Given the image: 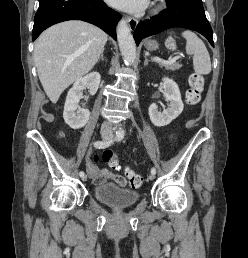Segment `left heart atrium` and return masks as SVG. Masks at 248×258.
<instances>
[{
  "instance_id": "1",
  "label": "left heart atrium",
  "mask_w": 248,
  "mask_h": 258,
  "mask_svg": "<svg viewBox=\"0 0 248 258\" xmlns=\"http://www.w3.org/2000/svg\"><path fill=\"white\" fill-rule=\"evenodd\" d=\"M111 6L129 11L138 13L144 10L149 0H106Z\"/></svg>"
}]
</instances>
